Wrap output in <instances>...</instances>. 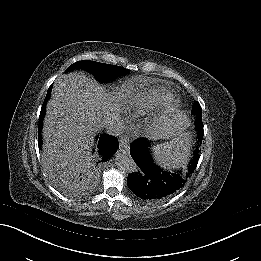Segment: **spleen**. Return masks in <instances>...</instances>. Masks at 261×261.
Wrapping results in <instances>:
<instances>
[{
	"mask_svg": "<svg viewBox=\"0 0 261 261\" xmlns=\"http://www.w3.org/2000/svg\"><path fill=\"white\" fill-rule=\"evenodd\" d=\"M192 137L189 132L183 133L170 143H163L154 148L157 162L168 169L185 167L190 157V143Z\"/></svg>",
	"mask_w": 261,
	"mask_h": 261,
	"instance_id": "3e777b00",
	"label": "spleen"
}]
</instances>
